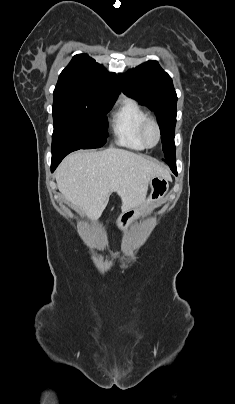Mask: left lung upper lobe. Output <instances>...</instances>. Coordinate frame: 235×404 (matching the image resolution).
<instances>
[{"instance_id":"left-lung-upper-lobe-1","label":"left lung upper lobe","mask_w":235,"mask_h":404,"mask_svg":"<svg viewBox=\"0 0 235 404\" xmlns=\"http://www.w3.org/2000/svg\"><path fill=\"white\" fill-rule=\"evenodd\" d=\"M124 94L153 110L161 130L163 161H176L174 134L177 95L171 77L157 61H148L119 75Z\"/></svg>"}]
</instances>
